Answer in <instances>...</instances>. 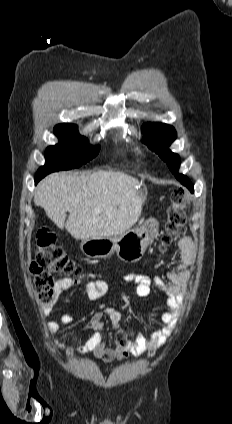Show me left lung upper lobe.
Returning <instances> with one entry per match:
<instances>
[{"mask_svg": "<svg viewBox=\"0 0 232 424\" xmlns=\"http://www.w3.org/2000/svg\"><path fill=\"white\" fill-rule=\"evenodd\" d=\"M142 131L143 142L167 163L178 180L184 178V175L178 173L179 156L169 150V146L177 137L175 129L163 123H146L142 126Z\"/></svg>", "mask_w": 232, "mask_h": 424, "instance_id": "left-lung-upper-lobe-1", "label": "left lung upper lobe"}]
</instances>
